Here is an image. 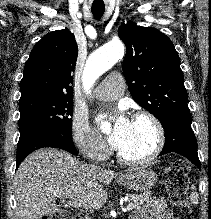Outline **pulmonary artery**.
Segmentation results:
<instances>
[{
    "instance_id": "e3ab8cb5",
    "label": "pulmonary artery",
    "mask_w": 211,
    "mask_h": 219,
    "mask_svg": "<svg viewBox=\"0 0 211 219\" xmlns=\"http://www.w3.org/2000/svg\"><path fill=\"white\" fill-rule=\"evenodd\" d=\"M124 77L119 72H112L99 85L96 97L100 100H113L120 97L124 92Z\"/></svg>"
}]
</instances>
